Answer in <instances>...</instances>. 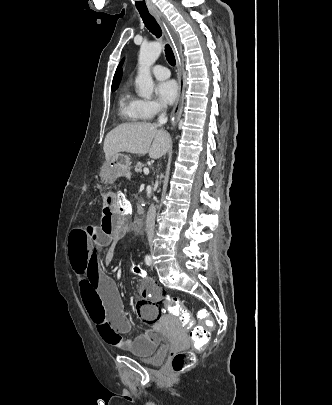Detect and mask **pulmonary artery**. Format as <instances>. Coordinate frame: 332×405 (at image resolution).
I'll return each instance as SVG.
<instances>
[{
    "instance_id": "pulmonary-artery-1",
    "label": "pulmonary artery",
    "mask_w": 332,
    "mask_h": 405,
    "mask_svg": "<svg viewBox=\"0 0 332 405\" xmlns=\"http://www.w3.org/2000/svg\"><path fill=\"white\" fill-rule=\"evenodd\" d=\"M152 74L157 79H167L170 76V71L164 66L156 65L152 68Z\"/></svg>"
}]
</instances>
